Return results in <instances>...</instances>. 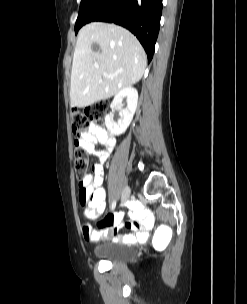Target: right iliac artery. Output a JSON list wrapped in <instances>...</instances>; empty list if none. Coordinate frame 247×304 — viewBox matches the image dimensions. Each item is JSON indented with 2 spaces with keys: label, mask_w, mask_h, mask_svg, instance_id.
<instances>
[{
  "label": "right iliac artery",
  "mask_w": 247,
  "mask_h": 304,
  "mask_svg": "<svg viewBox=\"0 0 247 304\" xmlns=\"http://www.w3.org/2000/svg\"><path fill=\"white\" fill-rule=\"evenodd\" d=\"M115 205H116V202H113V204H112V210L114 209Z\"/></svg>",
  "instance_id": "right-iliac-artery-1"
}]
</instances>
